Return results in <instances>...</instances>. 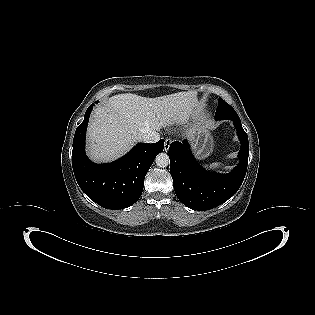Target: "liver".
Instances as JSON below:
<instances>
[{
  "instance_id": "obj_1",
  "label": "liver",
  "mask_w": 315,
  "mask_h": 315,
  "mask_svg": "<svg viewBox=\"0 0 315 315\" xmlns=\"http://www.w3.org/2000/svg\"><path fill=\"white\" fill-rule=\"evenodd\" d=\"M197 92H178L156 98L126 93L110 97L91 115L87 129L88 154L109 162L128 152L144 134L196 116Z\"/></svg>"
}]
</instances>
